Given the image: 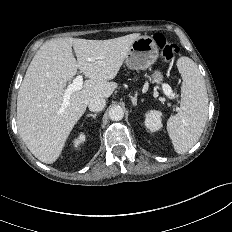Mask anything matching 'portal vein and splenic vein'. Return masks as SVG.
Returning <instances> with one entry per match:
<instances>
[{
  "label": "portal vein and splenic vein",
  "mask_w": 232,
  "mask_h": 232,
  "mask_svg": "<svg viewBox=\"0 0 232 232\" xmlns=\"http://www.w3.org/2000/svg\"><path fill=\"white\" fill-rule=\"evenodd\" d=\"M83 87V76L82 75H77L73 82L69 84L66 89L64 90V96H63V103L61 110H64L67 106H69L70 102V97L72 93L81 90ZM162 89L166 97L171 98L174 96L172 93V89L168 84H163Z\"/></svg>",
  "instance_id": "obj_1"
}]
</instances>
